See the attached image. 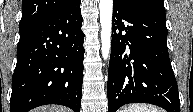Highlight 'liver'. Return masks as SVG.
<instances>
[{
	"label": "liver",
	"instance_id": "liver-1",
	"mask_svg": "<svg viewBox=\"0 0 193 112\" xmlns=\"http://www.w3.org/2000/svg\"><path fill=\"white\" fill-rule=\"evenodd\" d=\"M32 112H70V110L64 107L51 106V107H40L34 109Z\"/></svg>",
	"mask_w": 193,
	"mask_h": 112
}]
</instances>
